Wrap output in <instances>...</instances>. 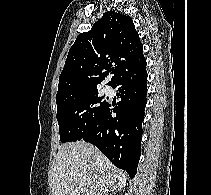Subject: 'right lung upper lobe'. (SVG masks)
<instances>
[{
  "label": "right lung upper lobe",
  "mask_w": 211,
  "mask_h": 195,
  "mask_svg": "<svg viewBox=\"0 0 211 195\" xmlns=\"http://www.w3.org/2000/svg\"><path fill=\"white\" fill-rule=\"evenodd\" d=\"M146 65L143 46L133 20L108 11L92 29L77 36L59 77L57 105L97 90L108 75L112 86L121 76Z\"/></svg>",
  "instance_id": "1"
}]
</instances>
